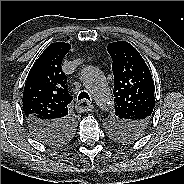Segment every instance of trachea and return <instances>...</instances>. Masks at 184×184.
Segmentation results:
<instances>
[{
	"instance_id": "3493384b",
	"label": "trachea",
	"mask_w": 184,
	"mask_h": 184,
	"mask_svg": "<svg viewBox=\"0 0 184 184\" xmlns=\"http://www.w3.org/2000/svg\"><path fill=\"white\" fill-rule=\"evenodd\" d=\"M78 100H89L90 101V97L87 92L83 91L79 94Z\"/></svg>"
}]
</instances>
